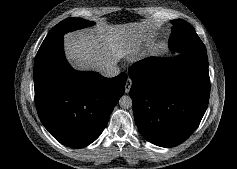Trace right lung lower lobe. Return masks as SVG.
<instances>
[{"label":"right lung lower lobe","instance_id":"98d812e1","mask_svg":"<svg viewBox=\"0 0 237 169\" xmlns=\"http://www.w3.org/2000/svg\"><path fill=\"white\" fill-rule=\"evenodd\" d=\"M127 75L105 78L75 71L66 61L63 36L45 39L34 63L39 118L60 143L82 148L95 141L124 93Z\"/></svg>","mask_w":237,"mask_h":169}]
</instances>
